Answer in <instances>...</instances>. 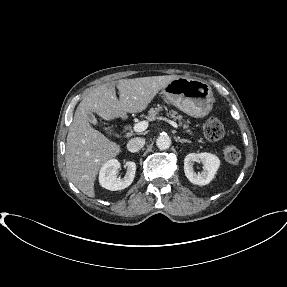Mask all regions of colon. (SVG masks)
Here are the masks:
<instances>
[{
    "label": "colon",
    "instance_id": "1",
    "mask_svg": "<svg viewBox=\"0 0 287 287\" xmlns=\"http://www.w3.org/2000/svg\"><path fill=\"white\" fill-rule=\"evenodd\" d=\"M106 128L110 130V125L107 124ZM204 135L208 140L218 141L224 136V126L217 118L208 119L203 127ZM223 157L229 164H238L241 160V151L235 145H226L223 149Z\"/></svg>",
    "mask_w": 287,
    "mask_h": 287
}]
</instances>
